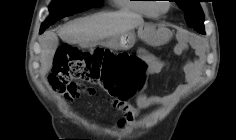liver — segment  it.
Segmentation results:
<instances>
[{"instance_id": "1", "label": "liver", "mask_w": 236, "mask_h": 140, "mask_svg": "<svg viewBox=\"0 0 236 140\" xmlns=\"http://www.w3.org/2000/svg\"><path fill=\"white\" fill-rule=\"evenodd\" d=\"M140 15L130 12L97 13L78 18L65 24L58 30V36L68 43L86 47L100 40L120 36L143 25ZM41 74L52 68L54 55L58 47V37L53 31L45 32L40 38Z\"/></svg>"}]
</instances>
